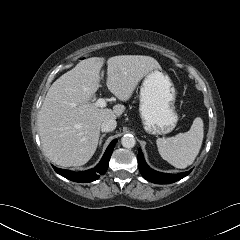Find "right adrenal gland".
Masks as SVG:
<instances>
[{"label":"right adrenal gland","instance_id":"obj_1","mask_svg":"<svg viewBox=\"0 0 240 240\" xmlns=\"http://www.w3.org/2000/svg\"><path fill=\"white\" fill-rule=\"evenodd\" d=\"M106 134H102L99 140V146L102 144V139L105 137Z\"/></svg>","mask_w":240,"mask_h":240}]
</instances>
